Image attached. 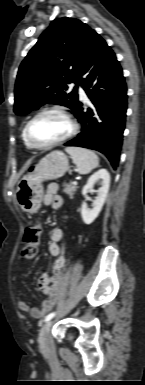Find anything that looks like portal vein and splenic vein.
Instances as JSON below:
<instances>
[{
	"instance_id": "obj_1",
	"label": "portal vein and splenic vein",
	"mask_w": 145,
	"mask_h": 385,
	"mask_svg": "<svg viewBox=\"0 0 145 385\" xmlns=\"http://www.w3.org/2000/svg\"><path fill=\"white\" fill-rule=\"evenodd\" d=\"M74 185H77L78 183L76 181L73 182Z\"/></svg>"
}]
</instances>
